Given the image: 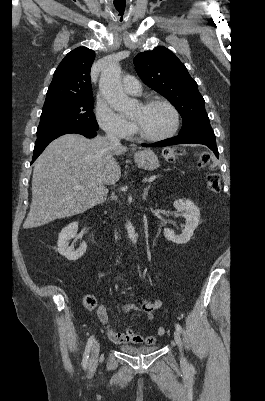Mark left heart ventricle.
Returning a JSON list of instances; mask_svg holds the SVG:
<instances>
[{
  "mask_svg": "<svg viewBox=\"0 0 265 401\" xmlns=\"http://www.w3.org/2000/svg\"><path fill=\"white\" fill-rule=\"evenodd\" d=\"M137 125L139 134L160 135L169 130L173 125V115L171 111L161 104L144 107L138 106L132 118Z\"/></svg>",
  "mask_w": 265,
  "mask_h": 401,
  "instance_id": "left-heart-ventricle-1",
  "label": "left heart ventricle"
}]
</instances>
